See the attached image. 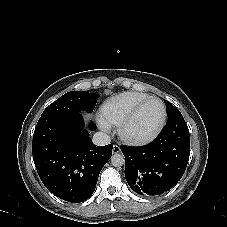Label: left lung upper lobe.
<instances>
[{"label":"left lung upper lobe","instance_id":"5c2ea615","mask_svg":"<svg viewBox=\"0 0 227 227\" xmlns=\"http://www.w3.org/2000/svg\"><path fill=\"white\" fill-rule=\"evenodd\" d=\"M167 110V116L170 117L171 115L175 114L179 110L175 108L169 101L164 100Z\"/></svg>","mask_w":227,"mask_h":227}]
</instances>
